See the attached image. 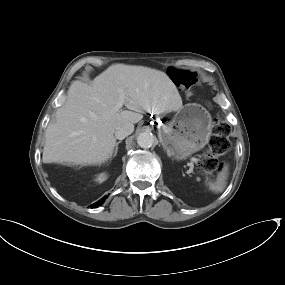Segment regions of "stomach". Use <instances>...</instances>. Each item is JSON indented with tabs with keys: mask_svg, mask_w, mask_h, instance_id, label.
I'll use <instances>...</instances> for the list:
<instances>
[{
	"mask_svg": "<svg viewBox=\"0 0 285 285\" xmlns=\"http://www.w3.org/2000/svg\"><path fill=\"white\" fill-rule=\"evenodd\" d=\"M211 132L209 112L198 104H188L161 127L159 134L168 155L183 160L202 149L209 142Z\"/></svg>",
	"mask_w": 285,
	"mask_h": 285,
	"instance_id": "0dacf381",
	"label": "stomach"
}]
</instances>
